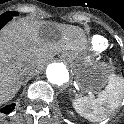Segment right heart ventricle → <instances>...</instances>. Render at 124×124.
<instances>
[{
    "mask_svg": "<svg viewBox=\"0 0 124 124\" xmlns=\"http://www.w3.org/2000/svg\"><path fill=\"white\" fill-rule=\"evenodd\" d=\"M108 46V40L100 35H94L89 39V51L93 55L102 53Z\"/></svg>",
    "mask_w": 124,
    "mask_h": 124,
    "instance_id": "1",
    "label": "right heart ventricle"
}]
</instances>
